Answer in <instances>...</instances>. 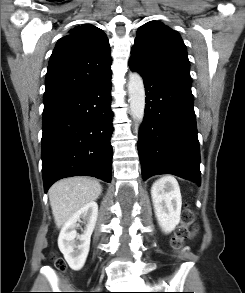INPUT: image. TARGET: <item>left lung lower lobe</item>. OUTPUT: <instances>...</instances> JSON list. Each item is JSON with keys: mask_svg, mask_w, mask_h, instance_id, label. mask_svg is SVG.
I'll use <instances>...</instances> for the list:
<instances>
[{"mask_svg": "<svg viewBox=\"0 0 245 293\" xmlns=\"http://www.w3.org/2000/svg\"><path fill=\"white\" fill-rule=\"evenodd\" d=\"M129 67L144 79L146 106L138 153L142 177L174 174L200 185V152L191 85L137 58Z\"/></svg>", "mask_w": 245, "mask_h": 293, "instance_id": "obj_1", "label": "left lung lower lobe"}]
</instances>
